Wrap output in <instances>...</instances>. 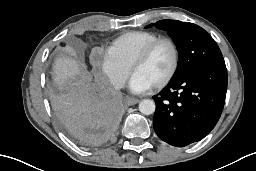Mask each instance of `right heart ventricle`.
<instances>
[{"label":"right heart ventricle","mask_w":256,"mask_h":171,"mask_svg":"<svg viewBox=\"0 0 256 171\" xmlns=\"http://www.w3.org/2000/svg\"><path fill=\"white\" fill-rule=\"evenodd\" d=\"M159 35L149 31H130L114 39L107 52L123 65L130 67L136 55Z\"/></svg>","instance_id":"1"}]
</instances>
